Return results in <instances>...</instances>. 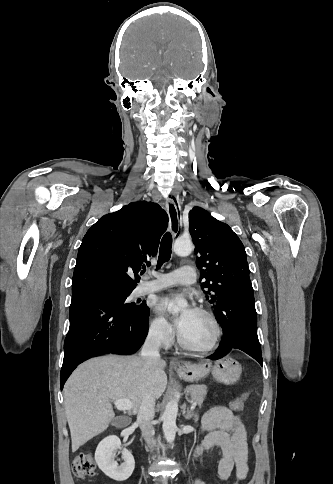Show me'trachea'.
I'll return each instance as SVG.
<instances>
[{
  "label": "trachea",
  "instance_id": "obj_1",
  "mask_svg": "<svg viewBox=\"0 0 333 484\" xmlns=\"http://www.w3.org/2000/svg\"><path fill=\"white\" fill-rule=\"evenodd\" d=\"M172 235L170 232L164 234L159 250V257L157 262V269H159L163 263L170 260L171 253H172Z\"/></svg>",
  "mask_w": 333,
  "mask_h": 484
}]
</instances>
